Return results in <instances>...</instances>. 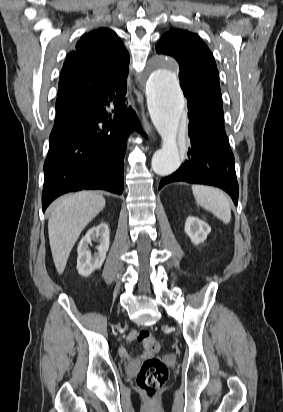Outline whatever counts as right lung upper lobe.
Instances as JSON below:
<instances>
[{
    "label": "right lung upper lobe",
    "mask_w": 283,
    "mask_h": 412,
    "mask_svg": "<svg viewBox=\"0 0 283 412\" xmlns=\"http://www.w3.org/2000/svg\"><path fill=\"white\" fill-rule=\"evenodd\" d=\"M128 63L129 54L112 30L99 28L84 34L65 60L69 80H59L57 115L102 87L125 86Z\"/></svg>",
    "instance_id": "obj_1"
}]
</instances>
